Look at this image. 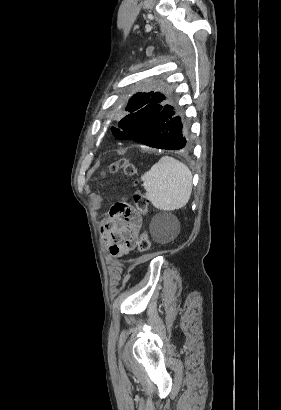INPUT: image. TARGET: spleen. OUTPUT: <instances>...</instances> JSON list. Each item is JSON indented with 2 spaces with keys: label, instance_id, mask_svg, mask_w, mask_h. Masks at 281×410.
Returning a JSON list of instances; mask_svg holds the SVG:
<instances>
[{
  "label": "spleen",
  "instance_id": "spleen-1",
  "mask_svg": "<svg viewBox=\"0 0 281 410\" xmlns=\"http://www.w3.org/2000/svg\"><path fill=\"white\" fill-rule=\"evenodd\" d=\"M146 198L159 210L173 211L184 207L192 191V173L180 161L163 156L141 176Z\"/></svg>",
  "mask_w": 281,
  "mask_h": 410
}]
</instances>
